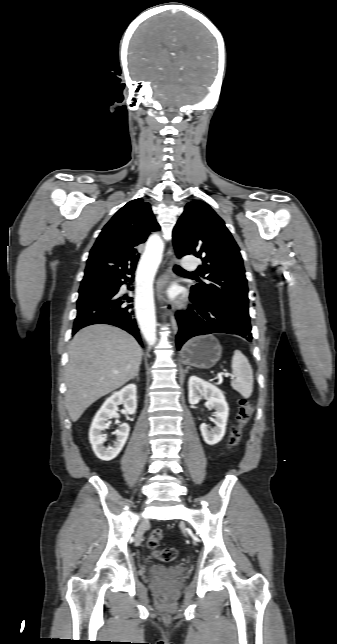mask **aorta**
I'll use <instances>...</instances> for the list:
<instances>
[{
	"label": "aorta",
	"instance_id": "obj_1",
	"mask_svg": "<svg viewBox=\"0 0 337 644\" xmlns=\"http://www.w3.org/2000/svg\"><path fill=\"white\" fill-rule=\"evenodd\" d=\"M162 258V244L147 249L136 272L135 309L142 334L150 346L156 343V317L153 300V279Z\"/></svg>",
	"mask_w": 337,
	"mask_h": 644
}]
</instances>
